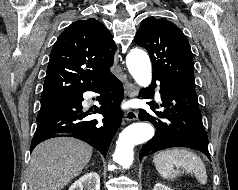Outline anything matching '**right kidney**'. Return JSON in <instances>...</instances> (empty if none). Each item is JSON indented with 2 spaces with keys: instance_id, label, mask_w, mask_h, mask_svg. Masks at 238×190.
<instances>
[{
  "instance_id": "obj_1",
  "label": "right kidney",
  "mask_w": 238,
  "mask_h": 190,
  "mask_svg": "<svg viewBox=\"0 0 238 190\" xmlns=\"http://www.w3.org/2000/svg\"><path fill=\"white\" fill-rule=\"evenodd\" d=\"M69 190H100V177L96 172L87 173L75 181Z\"/></svg>"
}]
</instances>
